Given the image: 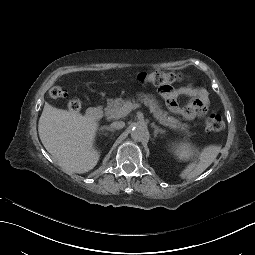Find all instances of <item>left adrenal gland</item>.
Listing matches in <instances>:
<instances>
[{"mask_svg":"<svg viewBox=\"0 0 255 255\" xmlns=\"http://www.w3.org/2000/svg\"><path fill=\"white\" fill-rule=\"evenodd\" d=\"M151 127L154 128V137H157L158 133H164L165 130L159 128L155 123H151Z\"/></svg>","mask_w":255,"mask_h":255,"instance_id":"left-adrenal-gland-1","label":"left adrenal gland"}]
</instances>
